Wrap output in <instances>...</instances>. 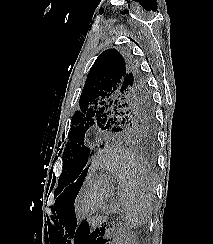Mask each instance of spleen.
<instances>
[{
  "label": "spleen",
  "instance_id": "3e777b00",
  "mask_svg": "<svg viewBox=\"0 0 213 244\" xmlns=\"http://www.w3.org/2000/svg\"><path fill=\"white\" fill-rule=\"evenodd\" d=\"M102 165L117 179L126 226L137 229L146 224L155 190L147 164L130 151L115 150Z\"/></svg>",
  "mask_w": 213,
  "mask_h": 244
}]
</instances>
